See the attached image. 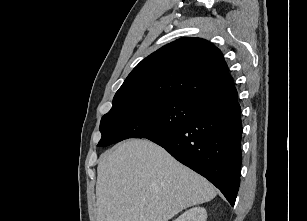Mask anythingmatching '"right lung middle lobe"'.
Masks as SVG:
<instances>
[{"mask_svg":"<svg viewBox=\"0 0 307 221\" xmlns=\"http://www.w3.org/2000/svg\"><path fill=\"white\" fill-rule=\"evenodd\" d=\"M203 108L190 101L165 97H136L115 102L101 119L102 138L97 146L168 133L187 124Z\"/></svg>","mask_w":307,"mask_h":221,"instance_id":"dd1d6c3e","label":"right lung middle lobe"}]
</instances>
